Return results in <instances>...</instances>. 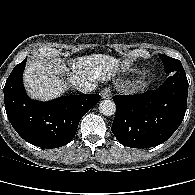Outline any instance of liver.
<instances>
[{"mask_svg": "<svg viewBox=\"0 0 195 195\" xmlns=\"http://www.w3.org/2000/svg\"><path fill=\"white\" fill-rule=\"evenodd\" d=\"M119 59L105 54H93L69 61L70 78L73 87L83 82H104L114 77L119 68ZM60 70L43 59L28 62L24 71V84L32 98L51 100L66 91L67 83L60 78Z\"/></svg>", "mask_w": 195, "mask_h": 195, "instance_id": "1", "label": "liver"}]
</instances>
